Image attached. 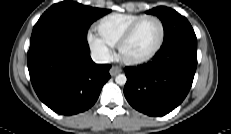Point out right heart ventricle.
Instances as JSON below:
<instances>
[{"mask_svg": "<svg viewBox=\"0 0 231 134\" xmlns=\"http://www.w3.org/2000/svg\"><path fill=\"white\" fill-rule=\"evenodd\" d=\"M143 16L129 13L107 15L100 19L96 25L98 35L111 46H116L127 29Z\"/></svg>", "mask_w": 231, "mask_h": 134, "instance_id": "1", "label": "right heart ventricle"}]
</instances>
